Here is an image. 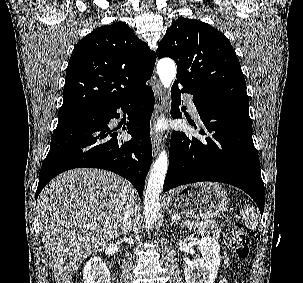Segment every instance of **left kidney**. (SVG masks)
Segmentation results:
<instances>
[{
    "label": "left kidney",
    "instance_id": "1",
    "mask_svg": "<svg viewBox=\"0 0 303 283\" xmlns=\"http://www.w3.org/2000/svg\"><path fill=\"white\" fill-rule=\"evenodd\" d=\"M198 249L202 258L195 259L185 267L186 283H214L220 266V245L216 238L204 236L199 240ZM195 268L198 273H195Z\"/></svg>",
    "mask_w": 303,
    "mask_h": 283
}]
</instances>
